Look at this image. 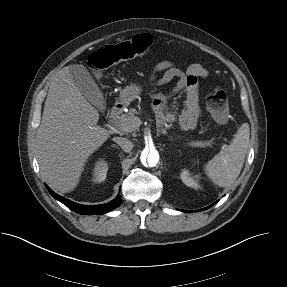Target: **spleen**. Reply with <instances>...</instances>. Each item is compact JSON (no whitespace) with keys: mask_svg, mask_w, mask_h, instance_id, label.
<instances>
[{"mask_svg":"<svg viewBox=\"0 0 287 287\" xmlns=\"http://www.w3.org/2000/svg\"><path fill=\"white\" fill-rule=\"evenodd\" d=\"M249 137V124L243 123L230 145L223 148L205 164V173L214 184L229 187L238 178L245 161Z\"/></svg>","mask_w":287,"mask_h":287,"instance_id":"3e777b00","label":"spleen"}]
</instances>
